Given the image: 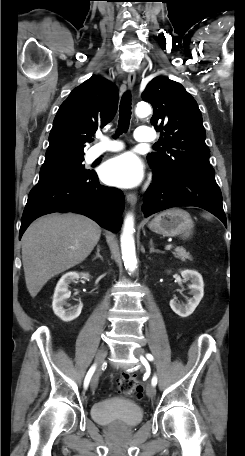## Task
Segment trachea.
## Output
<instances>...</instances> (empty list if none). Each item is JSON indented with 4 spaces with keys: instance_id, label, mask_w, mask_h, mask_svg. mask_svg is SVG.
I'll list each match as a JSON object with an SVG mask.
<instances>
[{
    "instance_id": "obj_1",
    "label": "trachea",
    "mask_w": 245,
    "mask_h": 456,
    "mask_svg": "<svg viewBox=\"0 0 245 456\" xmlns=\"http://www.w3.org/2000/svg\"><path fill=\"white\" fill-rule=\"evenodd\" d=\"M131 95L126 92L120 102L119 106V125L116 132L117 135L127 132L131 119Z\"/></svg>"
}]
</instances>
